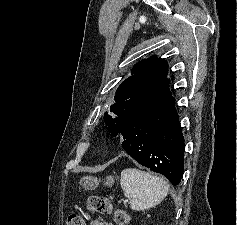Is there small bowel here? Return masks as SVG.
<instances>
[{
    "label": "small bowel",
    "instance_id": "obj_1",
    "mask_svg": "<svg viewBox=\"0 0 237 225\" xmlns=\"http://www.w3.org/2000/svg\"><path fill=\"white\" fill-rule=\"evenodd\" d=\"M89 225H113L111 222L105 221L103 219L97 218V219H92L89 222Z\"/></svg>",
    "mask_w": 237,
    "mask_h": 225
}]
</instances>
